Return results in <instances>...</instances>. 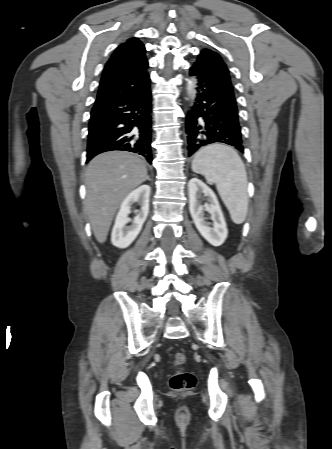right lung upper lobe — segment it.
Masks as SVG:
<instances>
[{
	"instance_id": "cb5924a9",
	"label": "right lung upper lobe",
	"mask_w": 332,
	"mask_h": 449,
	"mask_svg": "<svg viewBox=\"0 0 332 449\" xmlns=\"http://www.w3.org/2000/svg\"><path fill=\"white\" fill-rule=\"evenodd\" d=\"M145 47L137 38L121 44L105 65L95 104L126 99L150 87Z\"/></svg>"
}]
</instances>
